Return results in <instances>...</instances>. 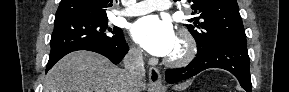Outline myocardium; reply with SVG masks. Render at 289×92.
I'll list each match as a JSON object with an SVG mask.
<instances>
[{
    "instance_id": "myocardium-1",
    "label": "myocardium",
    "mask_w": 289,
    "mask_h": 92,
    "mask_svg": "<svg viewBox=\"0 0 289 92\" xmlns=\"http://www.w3.org/2000/svg\"><path fill=\"white\" fill-rule=\"evenodd\" d=\"M177 40L181 44V52L178 55L168 56L165 60V63L171 67H181L188 64L197 52L196 41L186 29L179 31Z\"/></svg>"
}]
</instances>
